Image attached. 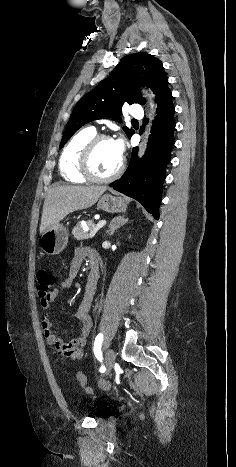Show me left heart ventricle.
I'll list each match as a JSON object with an SVG mask.
<instances>
[{"instance_id":"left-heart-ventricle-1","label":"left heart ventricle","mask_w":236,"mask_h":467,"mask_svg":"<svg viewBox=\"0 0 236 467\" xmlns=\"http://www.w3.org/2000/svg\"><path fill=\"white\" fill-rule=\"evenodd\" d=\"M112 141L100 142L92 157V169L98 176L105 177L113 173L120 163Z\"/></svg>"}]
</instances>
